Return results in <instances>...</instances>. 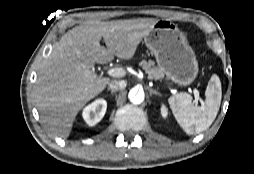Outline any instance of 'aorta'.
Wrapping results in <instances>:
<instances>
[{
  "mask_svg": "<svg viewBox=\"0 0 254 174\" xmlns=\"http://www.w3.org/2000/svg\"><path fill=\"white\" fill-rule=\"evenodd\" d=\"M128 98L133 104H141L144 101V91L138 88H133L129 91Z\"/></svg>",
  "mask_w": 254,
  "mask_h": 174,
  "instance_id": "obj_1",
  "label": "aorta"
}]
</instances>
